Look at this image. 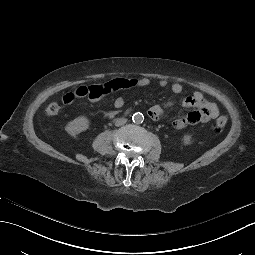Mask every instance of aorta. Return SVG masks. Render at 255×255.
Returning a JSON list of instances; mask_svg holds the SVG:
<instances>
[{
	"label": "aorta",
	"mask_w": 255,
	"mask_h": 255,
	"mask_svg": "<svg viewBox=\"0 0 255 255\" xmlns=\"http://www.w3.org/2000/svg\"><path fill=\"white\" fill-rule=\"evenodd\" d=\"M132 121L135 124H141L144 121V115L140 112L134 113L132 116Z\"/></svg>",
	"instance_id": "762f6f07"
}]
</instances>
